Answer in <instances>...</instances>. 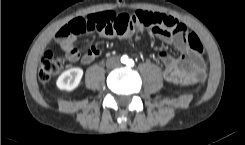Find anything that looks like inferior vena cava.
Wrapping results in <instances>:
<instances>
[{
    "instance_id": "inferior-vena-cava-1",
    "label": "inferior vena cava",
    "mask_w": 245,
    "mask_h": 145,
    "mask_svg": "<svg viewBox=\"0 0 245 145\" xmlns=\"http://www.w3.org/2000/svg\"><path fill=\"white\" fill-rule=\"evenodd\" d=\"M107 67L114 68L120 65L119 57H110L106 62Z\"/></svg>"
}]
</instances>
